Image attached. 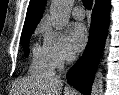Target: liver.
I'll list each match as a JSON object with an SVG mask.
<instances>
[{"mask_svg": "<svg viewBox=\"0 0 119 95\" xmlns=\"http://www.w3.org/2000/svg\"><path fill=\"white\" fill-rule=\"evenodd\" d=\"M19 87L24 93L34 92L36 95H62L63 82L60 78L39 75L22 80ZM64 95H78L74 90L65 87Z\"/></svg>", "mask_w": 119, "mask_h": 95, "instance_id": "obj_1", "label": "liver"}]
</instances>
